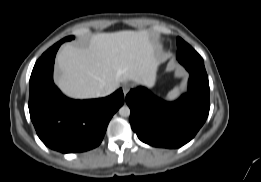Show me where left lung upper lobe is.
Wrapping results in <instances>:
<instances>
[{"label": "left lung upper lobe", "instance_id": "5c2ea615", "mask_svg": "<svg viewBox=\"0 0 261 182\" xmlns=\"http://www.w3.org/2000/svg\"><path fill=\"white\" fill-rule=\"evenodd\" d=\"M177 47L176 57L178 60H203L202 57L180 37H177Z\"/></svg>", "mask_w": 261, "mask_h": 182}]
</instances>
